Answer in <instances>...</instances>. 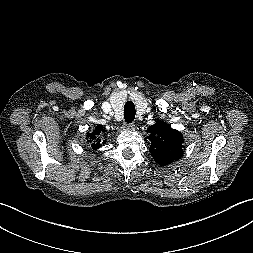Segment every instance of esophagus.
<instances>
[{"label": "esophagus", "instance_id": "34e87169", "mask_svg": "<svg viewBox=\"0 0 253 253\" xmlns=\"http://www.w3.org/2000/svg\"><path fill=\"white\" fill-rule=\"evenodd\" d=\"M123 128L125 129V130H134L135 129V125H134V123H125L124 124V126H123Z\"/></svg>", "mask_w": 253, "mask_h": 253}]
</instances>
